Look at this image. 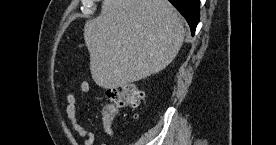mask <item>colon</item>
<instances>
[{"label": "colon", "instance_id": "5ec220e1", "mask_svg": "<svg viewBox=\"0 0 276 145\" xmlns=\"http://www.w3.org/2000/svg\"><path fill=\"white\" fill-rule=\"evenodd\" d=\"M107 103L102 105L101 113L107 119H113L119 108H137L144 102V93L134 84H125L119 88H109L105 92Z\"/></svg>", "mask_w": 276, "mask_h": 145}]
</instances>
